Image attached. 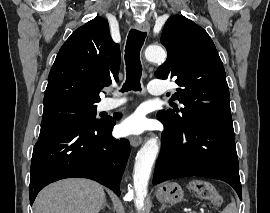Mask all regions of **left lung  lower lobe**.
Instances as JSON below:
<instances>
[{
	"mask_svg": "<svg viewBox=\"0 0 270 213\" xmlns=\"http://www.w3.org/2000/svg\"><path fill=\"white\" fill-rule=\"evenodd\" d=\"M158 119L165 131L153 184L186 176L208 177L227 182L242 199L232 121L196 119L178 128Z\"/></svg>",
	"mask_w": 270,
	"mask_h": 213,
	"instance_id": "left-lung-lower-lobe-1",
	"label": "left lung lower lobe"
}]
</instances>
